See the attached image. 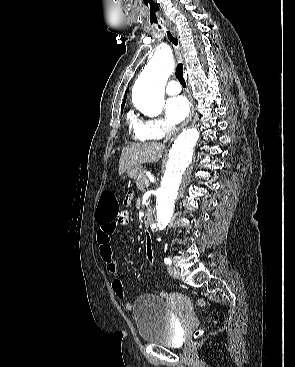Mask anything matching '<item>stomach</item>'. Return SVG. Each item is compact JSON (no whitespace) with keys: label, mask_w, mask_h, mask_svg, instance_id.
Returning a JSON list of instances; mask_svg holds the SVG:
<instances>
[{"label":"stomach","mask_w":295,"mask_h":367,"mask_svg":"<svg viewBox=\"0 0 295 367\" xmlns=\"http://www.w3.org/2000/svg\"><path fill=\"white\" fill-rule=\"evenodd\" d=\"M126 172H127V175L131 179H137L142 173V167L141 166H134V167L128 169Z\"/></svg>","instance_id":"0dacf381"}]
</instances>
